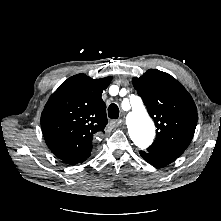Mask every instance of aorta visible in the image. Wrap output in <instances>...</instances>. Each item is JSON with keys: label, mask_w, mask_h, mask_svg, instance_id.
Returning <instances> with one entry per match:
<instances>
[{"label": "aorta", "mask_w": 221, "mask_h": 221, "mask_svg": "<svg viewBox=\"0 0 221 221\" xmlns=\"http://www.w3.org/2000/svg\"><path fill=\"white\" fill-rule=\"evenodd\" d=\"M132 108L127 117L128 132L133 143L140 149H145L153 142L154 123L138 101L132 103Z\"/></svg>", "instance_id": "1"}]
</instances>
